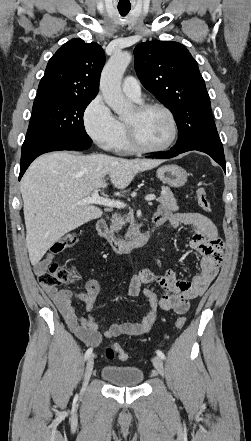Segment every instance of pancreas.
Returning a JSON list of instances; mask_svg holds the SVG:
<instances>
[{
  "label": "pancreas",
  "instance_id": "pancreas-1",
  "mask_svg": "<svg viewBox=\"0 0 251 441\" xmlns=\"http://www.w3.org/2000/svg\"><path fill=\"white\" fill-rule=\"evenodd\" d=\"M159 203L165 206L168 210L178 211L179 207L177 205V201L174 198V195L169 187H162V195L157 199ZM126 222L131 224L133 227V214L129 213L126 218L121 217L120 215H115L112 219L111 230L119 231Z\"/></svg>",
  "mask_w": 251,
  "mask_h": 441
}]
</instances>
